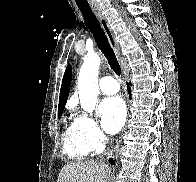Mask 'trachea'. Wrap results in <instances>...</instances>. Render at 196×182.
Listing matches in <instances>:
<instances>
[{
	"instance_id": "trachea-1",
	"label": "trachea",
	"mask_w": 196,
	"mask_h": 182,
	"mask_svg": "<svg viewBox=\"0 0 196 182\" xmlns=\"http://www.w3.org/2000/svg\"><path fill=\"white\" fill-rule=\"evenodd\" d=\"M79 9L81 10L87 27L93 34L97 46L106 57L111 69L115 72V74L120 75L121 68L119 62L97 17L90 7L79 6Z\"/></svg>"
}]
</instances>
